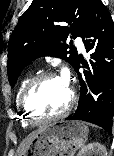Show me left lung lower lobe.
Returning <instances> with one entry per match:
<instances>
[{"mask_svg":"<svg viewBox=\"0 0 114 156\" xmlns=\"http://www.w3.org/2000/svg\"><path fill=\"white\" fill-rule=\"evenodd\" d=\"M82 38L86 51L94 50L89 64H83L84 74L74 67L81 84L79 105L67 120L94 123L112 133L114 113V22L110 12L99 1L92 12Z\"/></svg>","mask_w":114,"mask_h":156,"instance_id":"left-lung-lower-lobe-1","label":"left lung lower lobe"}]
</instances>
